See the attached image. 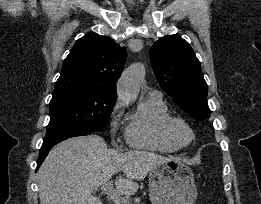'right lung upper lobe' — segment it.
Returning <instances> with one entry per match:
<instances>
[{
  "instance_id": "right-lung-upper-lobe-1",
  "label": "right lung upper lobe",
  "mask_w": 261,
  "mask_h": 204,
  "mask_svg": "<svg viewBox=\"0 0 261 204\" xmlns=\"http://www.w3.org/2000/svg\"><path fill=\"white\" fill-rule=\"evenodd\" d=\"M126 58V49L109 37L97 33L83 36L66 57L53 95L90 90L117 98L116 82Z\"/></svg>"
}]
</instances>
